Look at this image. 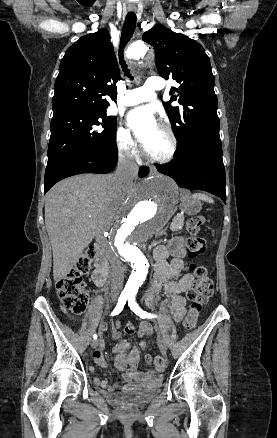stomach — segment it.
<instances>
[{"label":"stomach","instance_id":"0dacf381","mask_svg":"<svg viewBox=\"0 0 277 438\" xmlns=\"http://www.w3.org/2000/svg\"><path fill=\"white\" fill-rule=\"evenodd\" d=\"M201 202L192 198L187 194H183L181 197L180 209L189 215H195L201 210Z\"/></svg>","mask_w":277,"mask_h":438}]
</instances>
